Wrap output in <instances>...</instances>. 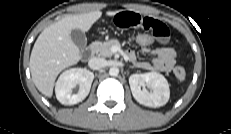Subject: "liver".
<instances>
[{
  "mask_svg": "<svg viewBox=\"0 0 231 134\" xmlns=\"http://www.w3.org/2000/svg\"><path fill=\"white\" fill-rule=\"evenodd\" d=\"M118 11H108L114 16ZM102 16L100 10L89 13L67 15L46 27L38 36L30 56V70L36 88L51 97L58 74L75 65L80 59V50L71 39V31L87 32Z\"/></svg>",
  "mask_w": 231,
  "mask_h": 134,
  "instance_id": "1",
  "label": "liver"
}]
</instances>
